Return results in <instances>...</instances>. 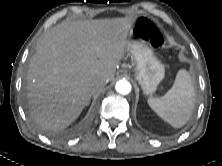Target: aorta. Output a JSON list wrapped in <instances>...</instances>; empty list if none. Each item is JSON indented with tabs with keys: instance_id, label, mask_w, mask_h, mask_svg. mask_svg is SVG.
I'll use <instances>...</instances> for the list:
<instances>
[{
	"instance_id": "762f6f07",
	"label": "aorta",
	"mask_w": 222,
	"mask_h": 166,
	"mask_svg": "<svg viewBox=\"0 0 222 166\" xmlns=\"http://www.w3.org/2000/svg\"><path fill=\"white\" fill-rule=\"evenodd\" d=\"M115 89L119 94L127 95L131 92V84L127 80H119Z\"/></svg>"
}]
</instances>
